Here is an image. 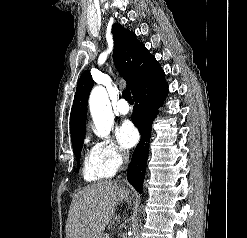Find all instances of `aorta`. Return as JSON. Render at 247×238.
<instances>
[{
  "label": "aorta",
  "mask_w": 247,
  "mask_h": 238,
  "mask_svg": "<svg viewBox=\"0 0 247 238\" xmlns=\"http://www.w3.org/2000/svg\"><path fill=\"white\" fill-rule=\"evenodd\" d=\"M89 106L96 127V135L101 138L107 137L114 124V116L107 92L103 87L98 86L92 90Z\"/></svg>",
  "instance_id": "762f6f07"
}]
</instances>
